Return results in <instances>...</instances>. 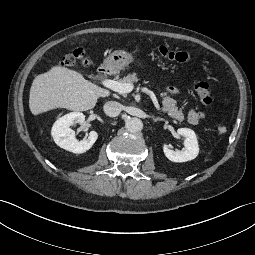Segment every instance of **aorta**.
<instances>
[{"label": "aorta", "mask_w": 255, "mask_h": 255, "mask_svg": "<svg viewBox=\"0 0 255 255\" xmlns=\"http://www.w3.org/2000/svg\"><path fill=\"white\" fill-rule=\"evenodd\" d=\"M125 126L130 133H137L143 129V122L137 117H132L126 121Z\"/></svg>", "instance_id": "762f6f07"}]
</instances>
